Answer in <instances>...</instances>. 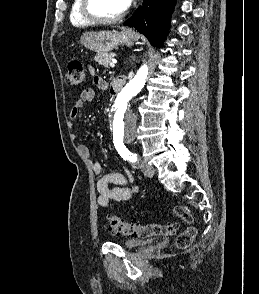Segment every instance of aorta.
<instances>
[{"label": "aorta", "mask_w": 259, "mask_h": 294, "mask_svg": "<svg viewBox=\"0 0 259 294\" xmlns=\"http://www.w3.org/2000/svg\"><path fill=\"white\" fill-rule=\"evenodd\" d=\"M148 75L147 65L118 93L109 114V130L114 141L131 142L135 139L137 119L129 110V101L143 88Z\"/></svg>", "instance_id": "762f6f07"}]
</instances>
